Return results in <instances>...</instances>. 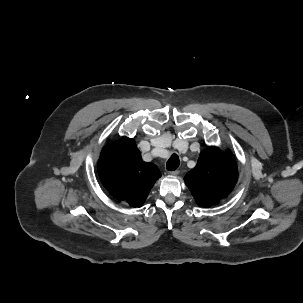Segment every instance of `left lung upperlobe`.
<instances>
[{"instance_id":"obj_1","label":"left lung upper lobe","mask_w":303,"mask_h":303,"mask_svg":"<svg viewBox=\"0 0 303 303\" xmlns=\"http://www.w3.org/2000/svg\"><path fill=\"white\" fill-rule=\"evenodd\" d=\"M238 177L235 158L230 150L208 147L199 156L197 165L184 178L197 204L210 207L227 196Z\"/></svg>"}]
</instances>
